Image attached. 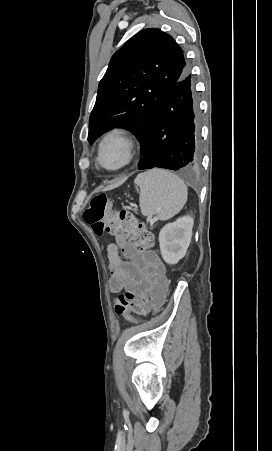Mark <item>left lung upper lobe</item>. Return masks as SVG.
<instances>
[{
	"label": "left lung upper lobe",
	"instance_id": "left-lung-upper-lobe-1",
	"mask_svg": "<svg viewBox=\"0 0 272 451\" xmlns=\"http://www.w3.org/2000/svg\"><path fill=\"white\" fill-rule=\"evenodd\" d=\"M186 70L181 48L156 28L140 31L111 58L89 119L88 141L115 126L143 142L144 155L169 92Z\"/></svg>",
	"mask_w": 272,
	"mask_h": 451
}]
</instances>
